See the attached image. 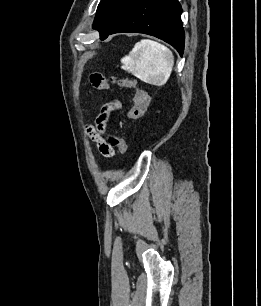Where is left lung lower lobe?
<instances>
[{"label": "left lung lower lobe", "instance_id": "left-lung-lower-lobe-1", "mask_svg": "<svg viewBox=\"0 0 261 306\" xmlns=\"http://www.w3.org/2000/svg\"><path fill=\"white\" fill-rule=\"evenodd\" d=\"M181 12L178 0H133L117 24L100 39L121 32L144 33L171 44L182 56L185 36Z\"/></svg>", "mask_w": 261, "mask_h": 306}]
</instances>
